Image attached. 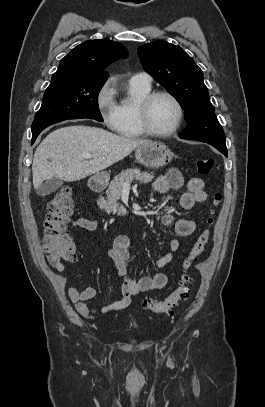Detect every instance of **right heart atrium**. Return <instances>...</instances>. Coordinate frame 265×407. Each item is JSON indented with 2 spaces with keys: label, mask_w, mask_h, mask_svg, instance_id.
Here are the masks:
<instances>
[{
  "label": "right heart atrium",
  "mask_w": 265,
  "mask_h": 407,
  "mask_svg": "<svg viewBox=\"0 0 265 407\" xmlns=\"http://www.w3.org/2000/svg\"><path fill=\"white\" fill-rule=\"evenodd\" d=\"M95 104L104 125L113 129L117 122L118 105L115 101L113 87L110 81L105 82L97 90Z\"/></svg>",
  "instance_id": "right-heart-atrium-1"
}]
</instances>
